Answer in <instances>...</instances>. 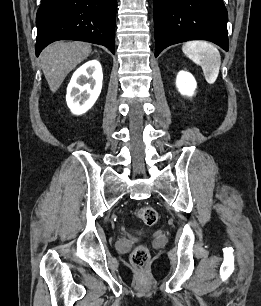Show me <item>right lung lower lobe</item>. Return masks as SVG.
I'll return each mask as SVG.
<instances>
[{
	"label": "right lung lower lobe",
	"mask_w": 261,
	"mask_h": 306,
	"mask_svg": "<svg viewBox=\"0 0 261 306\" xmlns=\"http://www.w3.org/2000/svg\"><path fill=\"white\" fill-rule=\"evenodd\" d=\"M116 0H42L36 15V56L51 42L71 39L114 54Z\"/></svg>",
	"instance_id": "1"
}]
</instances>
